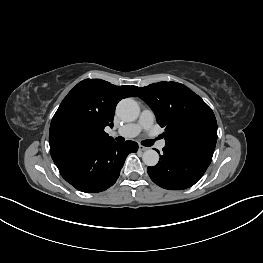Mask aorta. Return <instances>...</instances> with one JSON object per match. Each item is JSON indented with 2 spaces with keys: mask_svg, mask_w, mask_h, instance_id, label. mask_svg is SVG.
I'll use <instances>...</instances> for the list:
<instances>
[{
  "mask_svg": "<svg viewBox=\"0 0 263 263\" xmlns=\"http://www.w3.org/2000/svg\"><path fill=\"white\" fill-rule=\"evenodd\" d=\"M116 113L124 121L132 122L138 118L140 109L135 100L125 98L118 103ZM142 160L145 165L153 167L159 161V154L155 150L148 149L143 153Z\"/></svg>",
  "mask_w": 263,
  "mask_h": 263,
  "instance_id": "1",
  "label": "aorta"
}]
</instances>
